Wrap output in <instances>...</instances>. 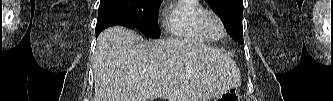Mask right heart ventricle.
<instances>
[{
	"mask_svg": "<svg viewBox=\"0 0 333 101\" xmlns=\"http://www.w3.org/2000/svg\"><path fill=\"white\" fill-rule=\"evenodd\" d=\"M204 10L197 0H178L167 13L165 27L180 40L207 43L210 38L199 27L198 16Z\"/></svg>",
	"mask_w": 333,
	"mask_h": 101,
	"instance_id": "e07e8e85",
	"label": "right heart ventricle"
}]
</instances>
